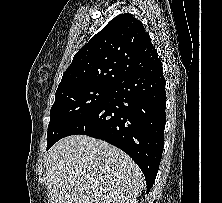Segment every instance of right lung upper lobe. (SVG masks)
I'll use <instances>...</instances> for the list:
<instances>
[{
  "mask_svg": "<svg viewBox=\"0 0 222 203\" xmlns=\"http://www.w3.org/2000/svg\"><path fill=\"white\" fill-rule=\"evenodd\" d=\"M155 59L157 50L142 22L125 13L113 18L75 54L57 91L85 85L112 87Z\"/></svg>",
  "mask_w": 222,
  "mask_h": 203,
  "instance_id": "cb5924a9",
  "label": "right lung upper lobe"
}]
</instances>
